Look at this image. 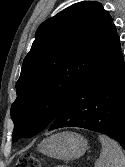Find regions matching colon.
<instances>
[{
    "mask_svg": "<svg viewBox=\"0 0 125 167\" xmlns=\"http://www.w3.org/2000/svg\"><path fill=\"white\" fill-rule=\"evenodd\" d=\"M16 160V167H40L39 161L32 154H22Z\"/></svg>",
    "mask_w": 125,
    "mask_h": 167,
    "instance_id": "1",
    "label": "colon"
}]
</instances>
